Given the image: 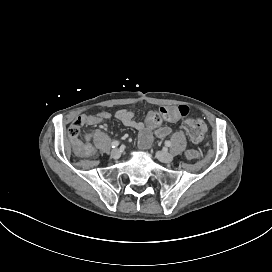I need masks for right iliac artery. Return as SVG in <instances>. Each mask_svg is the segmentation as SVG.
Here are the masks:
<instances>
[{
  "mask_svg": "<svg viewBox=\"0 0 272 272\" xmlns=\"http://www.w3.org/2000/svg\"><path fill=\"white\" fill-rule=\"evenodd\" d=\"M119 141H113L112 143H111V147L112 148H116V147H118L119 146Z\"/></svg>",
  "mask_w": 272,
  "mask_h": 272,
  "instance_id": "obj_1",
  "label": "right iliac artery"
}]
</instances>
